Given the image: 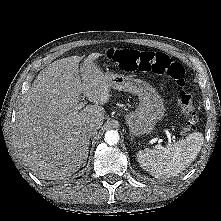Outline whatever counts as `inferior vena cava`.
<instances>
[{"mask_svg": "<svg viewBox=\"0 0 221 221\" xmlns=\"http://www.w3.org/2000/svg\"><path fill=\"white\" fill-rule=\"evenodd\" d=\"M97 129H99V127L96 123H90L86 128L89 136H92L93 134H95Z\"/></svg>", "mask_w": 221, "mask_h": 221, "instance_id": "inferior-vena-cava-1", "label": "inferior vena cava"}]
</instances>
